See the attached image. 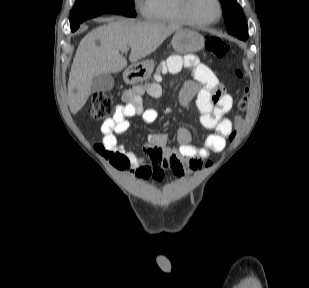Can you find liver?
I'll return each mask as SVG.
<instances>
[{"instance_id":"6515ba94","label":"liver","mask_w":309,"mask_h":288,"mask_svg":"<svg viewBox=\"0 0 309 288\" xmlns=\"http://www.w3.org/2000/svg\"><path fill=\"white\" fill-rule=\"evenodd\" d=\"M181 27L154 21L110 19L86 34L73 59L68 81V105L72 114L80 111L91 94L95 76L118 73L127 66L120 52L130 47L129 61L136 63L153 53L166 38Z\"/></svg>"}]
</instances>
